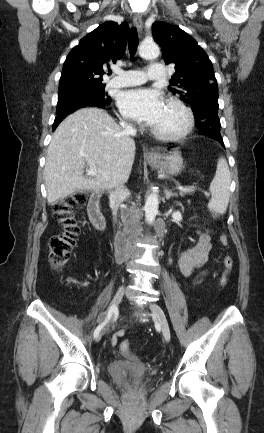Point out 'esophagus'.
<instances>
[{
  "label": "esophagus",
  "mask_w": 264,
  "mask_h": 433,
  "mask_svg": "<svg viewBox=\"0 0 264 433\" xmlns=\"http://www.w3.org/2000/svg\"><path fill=\"white\" fill-rule=\"evenodd\" d=\"M133 23L137 28L138 32H142L143 22L140 14H135L133 17ZM147 157L149 160H155L157 158V153L154 149L147 152Z\"/></svg>",
  "instance_id": "1"
}]
</instances>
